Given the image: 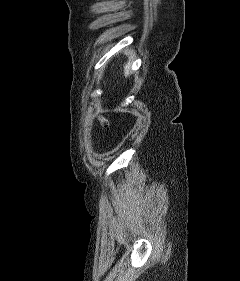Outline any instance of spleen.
Returning a JSON list of instances; mask_svg holds the SVG:
<instances>
[{
	"label": "spleen",
	"mask_w": 240,
	"mask_h": 281,
	"mask_svg": "<svg viewBox=\"0 0 240 281\" xmlns=\"http://www.w3.org/2000/svg\"><path fill=\"white\" fill-rule=\"evenodd\" d=\"M130 65H131V62H128L124 67V74L126 77L129 75Z\"/></svg>",
	"instance_id": "obj_1"
}]
</instances>
